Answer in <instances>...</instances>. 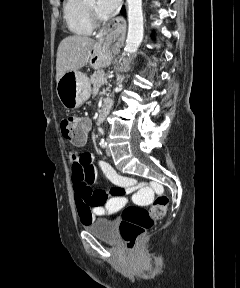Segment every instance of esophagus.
I'll return each instance as SVG.
<instances>
[{"label": "esophagus", "mask_w": 240, "mask_h": 288, "mask_svg": "<svg viewBox=\"0 0 240 288\" xmlns=\"http://www.w3.org/2000/svg\"><path fill=\"white\" fill-rule=\"evenodd\" d=\"M120 25H121V19L120 18L114 19L111 25H109V29H103L100 31V33L98 34V39L100 41H104V37L106 36V34L111 30H117Z\"/></svg>", "instance_id": "34e87169"}]
</instances>
